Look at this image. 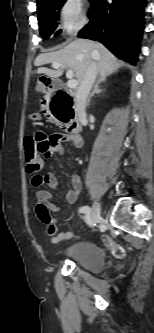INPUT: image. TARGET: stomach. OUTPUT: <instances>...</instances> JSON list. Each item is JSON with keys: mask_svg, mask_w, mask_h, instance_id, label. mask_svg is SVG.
<instances>
[{"mask_svg": "<svg viewBox=\"0 0 154 333\" xmlns=\"http://www.w3.org/2000/svg\"><path fill=\"white\" fill-rule=\"evenodd\" d=\"M36 90L39 92H46V86L43 83L38 82Z\"/></svg>", "mask_w": 154, "mask_h": 333, "instance_id": "stomach-1", "label": "stomach"}]
</instances>
